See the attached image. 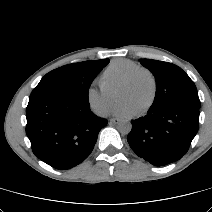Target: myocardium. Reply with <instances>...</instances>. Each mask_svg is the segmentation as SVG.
I'll return each mask as SVG.
<instances>
[{"instance_id": "obj_1", "label": "myocardium", "mask_w": 212, "mask_h": 212, "mask_svg": "<svg viewBox=\"0 0 212 212\" xmlns=\"http://www.w3.org/2000/svg\"><path fill=\"white\" fill-rule=\"evenodd\" d=\"M140 75H145L149 78L150 83H151V94H150V97H149L147 103L142 108H140L139 110H137L135 112L136 116H142V115L146 114L151 109V107L153 106V104L156 100L158 85H157V79H156L155 75L153 74V72L144 67L136 68L134 71L131 72V74L128 76L126 81L120 87V91L118 94V96L120 97L123 92L130 89L135 84L137 78Z\"/></svg>"}]
</instances>
